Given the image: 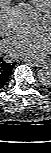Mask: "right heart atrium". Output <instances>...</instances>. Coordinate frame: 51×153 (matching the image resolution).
<instances>
[{"label": "right heart atrium", "instance_id": "obj_1", "mask_svg": "<svg viewBox=\"0 0 51 153\" xmlns=\"http://www.w3.org/2000/svg\"><path fill=\"white\" fill-rule=\"evenodd\" d=\"M9 12L10 8L7 4L0 7V32L2 33L9 31Z\"/></svg>", "mask_w": 51, "mask_h": 153}]
</instances>
